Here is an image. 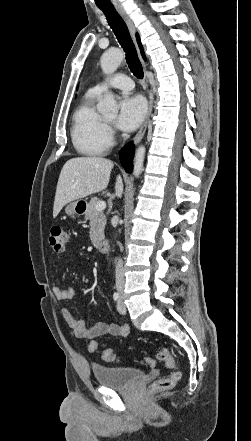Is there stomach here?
Instances as JSON below:
<instances>
[{
	"instance_id": "stomach-1",
	"label": "stomach",
	"mask_w": 251,
	"mask_h": 441,
	"mask_svg": "<svg viewBox=\"0 0 251 441\" xmlns=\"http://www.w3.org/2000/svg\"><path fill=\"white\" fill-rule=\"evenodd\" d=\"M87 208V203L84 200H77L75 202H70L66 208L65 213L68 216L81 215Z\"/></svg>"
}]
</instances>
